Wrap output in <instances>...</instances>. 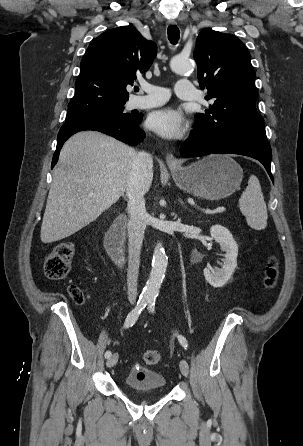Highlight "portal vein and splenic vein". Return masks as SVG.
I'll list each match as a JSON object with an SVG mask.
<instances>
[{"label":"portal vein and splenic vein","instance_id":"obj_1","mask_svg":"<svg viewBox=\"0 0 303 446\" xmlns=\"http://www.w3.org/2000/svg\"><path fill=\"white\" fill-rule=\"evenodd\" d=\"M94 194L93 193H90V196H93ZM226 209H225V207H217L215 210H213L211 213H222V212H224Z\"/></svg>","mask_w":303,"mask_h":446}]
</instances>
